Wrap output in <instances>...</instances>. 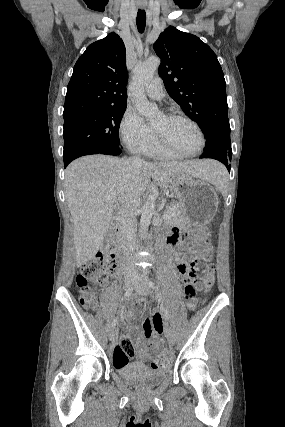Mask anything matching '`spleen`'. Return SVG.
I'll return each mask as SVG.
<instances>
[{
  "mask_svg": "<svg viewBox=\"0 0 285 427\" xmlns=\"http://www.w3.org/2000/svg\"><path fill=\"white\" fill-rule=\"evenodd\" d=\"M214 172L215 177L211 183L214 184L223 193L226 192L228 188V174L226 169L221 165L216 167Z\"/></svg>",
  "mask_w": 285,
  "mask_h": 427,
  "instance_id": "obj_1",
  "label": "spleen"
}]
</instances>
